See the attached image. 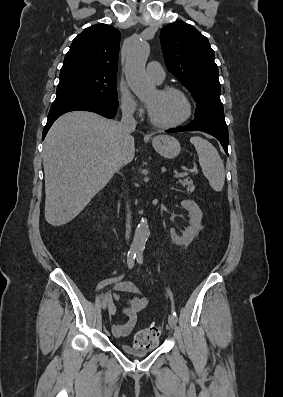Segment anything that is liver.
<instances>
[{
    "label": "liver",
    "instance_id": "obj_1",
    "mask_svg": "<svg viewBox=\"0 0 283 397\" xmlns=\"http://www.w3.org/2000/svg\"><path fill=\"white\" fill-rule=\"evenodd\" d=\"M117 122L88 111H72L50 128L43 149L45 219L52 226L73 220L118 170L130 163L134 138Z\"/></svg>",
    "mask_w": 283,
    "mask_h": 397
}]
</instances>
